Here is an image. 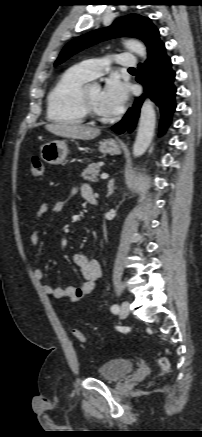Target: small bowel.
<instances>
[{"label": "small bowel", "mask_w": 202, "mask_h": 437, "mask_svg": "<svg viewBox=\"0 0 202 437\" xmlns=\"http://www.w3.org/2000/svg\"><path fill=\"white\" fill-rule=\"evenodd\" d=\"M78 190L75 189L73 193ZM81 195L87 200L89 196L94 195L89 185H82L79 188ZM66 206L65 201L57 200L54 202L43 203L37 210L35 223L30 236L32 246L39 244V223L41 219L49 212L60 213ZM73 262L80 269L84 281L78 286L52 287L48 283H42V290L57 299H68L71 302H77L82 298L90 295L95 287V282L101 276V266L98 260L89 258L85 254L77 253L73 256ZM34 276L38 281L43 280V272L40 268L34 270Z\"/></svg>", "instance_id": "1"}]
</instances>
